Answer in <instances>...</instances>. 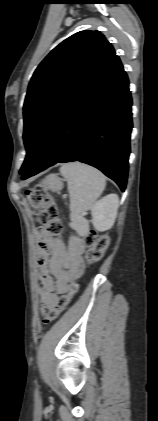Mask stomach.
Instances as JSON below:
<instances>
[{
    "mask_svg": "<svg viewBox=\"0 0 158 421\" xmlns=\"http://www.w3.org/2000/svg\"><path fill=\"white\" fill-rule=\"evenodd\" d=\"M40 185L47 190L57 192L63 188V180L57 174H49L41 181Z\"/></svg>",
    "mask_w": 158,
    "mask_h": 421,
    "instance_id": "1",
    "label": "stomach"
}]
</instances>
